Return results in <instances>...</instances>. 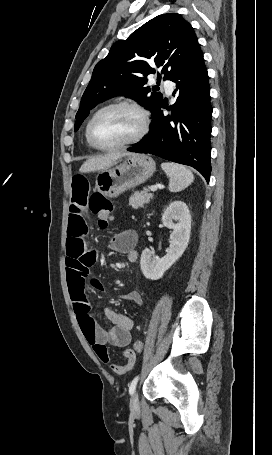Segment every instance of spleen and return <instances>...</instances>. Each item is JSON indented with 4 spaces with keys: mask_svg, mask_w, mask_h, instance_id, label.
I'll return each mask as SVG.
<instances>
[{
    "mask_svg": "<svg viewBox=\"0 0 272 455\" xmlns=\"http://www.w3.org/2000/svg\"><path fill=\"white\" fill-rule=\"evenodd\" d=\"M161 167L169 177V190L171 192H180L194 181L192 172L183 165L162 163Z\"/></svg>",
    "mask_w": 272,
    "mask_h": 455,
    "instance_id": "1",
    "label": "spleen"
}]
</instances>
